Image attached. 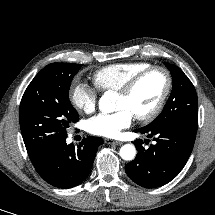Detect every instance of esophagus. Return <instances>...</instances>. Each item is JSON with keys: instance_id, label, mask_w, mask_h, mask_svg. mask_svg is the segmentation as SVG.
Listing matches in <instances>:
<instances>
[{"instance_id": "obj_1", "label": "esophagus", "mask_w": 215, "mask_h": 215, "mask_svg": "<svg viewBox=\"0 0 215 215\" xmlns=\"http://www.w3.org/2000/svg\"><path fill=\"white\" fill-rule=\"evenodd\" d=\"M105 143L109 145H122L121 141L113 140V139H105Z\"/></svg>"}]
</instances>
